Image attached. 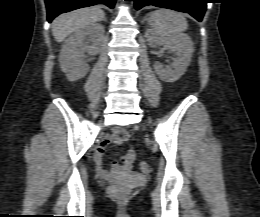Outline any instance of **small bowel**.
<instances>
[{
  "instance_id": "1",
  "label": "small bowel",
  "mask_w": 260,
  "mask_h": 217,
  "mask_svg": "<svg viewBox=\"0 0 260 217\" xmlns=\"http://www.w3.org/2000/svg\"><path fill=\"white\" fill-rule=\"evenodd\" d=\"M127 138H128L127 131L122 128H117L113 131L112 134L104 138L98 144L93 154V161L95 163L98 174L102 178L111 180L117 176H123L131 172L135 160V152L133 149H130L129 151L124 153L121 157L120 162H113L111 170L105 169L102 164V158L105 153L106 147L111 143L120 146Z\"/></svg>"
}]
</instances>
